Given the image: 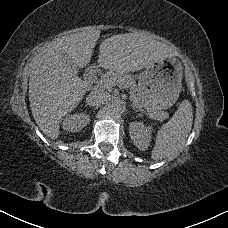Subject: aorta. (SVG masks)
Masks as SVG:
<instances>
[{
	"label": "aorta",
	"mask_w": 228,
	"mask_h": 228,
	"mask_svg": "<svg viewBox=\"0 0 228 228\" xmlns=\"http://www.w3.org/2000/svg\"><path fill=\"white\" fill-rule=\"evenodd\" d=\"M122 105L118 102H112L108 105V113L111 115H116L121 113Z\"/></svg>",
	"instance_id": "aorta-1"
}]
</instances>
